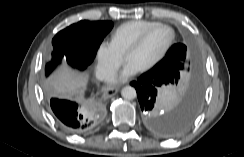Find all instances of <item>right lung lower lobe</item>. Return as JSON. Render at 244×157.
<instances>
[{
    "mask_svg": "<svg viewBox=\"0 0 244 157\" xmlns=\"http://www.w3.org/2000/svg\"><path fill=\"white\" fill-rule=\"evenodd\" d=\"M50 106L60 125L70 133L84 134L90 131L100 116L68 100L52 98Z\"/></svg>",
    "mask_w": 244,
    "mask_h": 157,
    "instance_id": "1",
    "label": "right lung lower lobe"
}]
</instances>
